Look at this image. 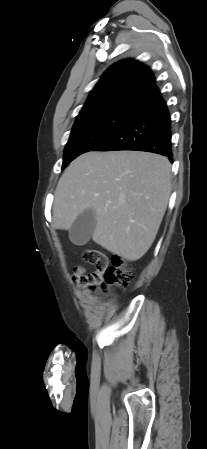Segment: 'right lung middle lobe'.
<instances>
[{
    "label": "right lung middle lobe",
    "mask_w": 207,
    "mask_h": 449,
    "mask_svg": "<svg viewBox=\"0 0 207 449\" xmlns=\"http://www.w3.org/2000/svg\"><path fill=\"white\" fill-rule=\"evenodd\" d=\"M134 113L117 109L77 117L65 147L62 169L104 141L128 122Z\"/></svg>",
    "instance_id": "obj_1"
}]
</instances>
